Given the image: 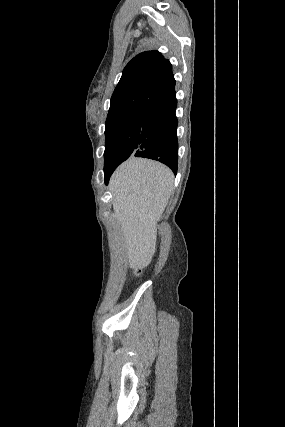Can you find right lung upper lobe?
<instances>
[{
  "instance_id": "right-lung-upper-lobe-1",
  "label": "right lung upper lobe",
  "mask_w": 285,
  "mask_h": 427,
  "mask_svg": "<svg viewBox=\"0 0 285 427\" xmlns=\"http://www.w3.org/2000/svg\"><path fill=\"white\" fill-rule=\"evenodd\" d=\"M172 65L158 51L134 57L124 68L111 97L106 123L147 111L175 93Z\"/></svg>"
}]
</instances>
